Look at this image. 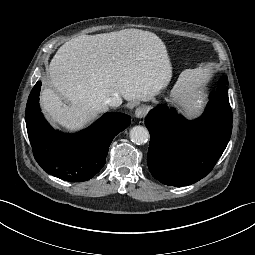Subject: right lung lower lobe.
I'll return each instance as SVG.
<instances>
[{
  "label": "right lung lower lobe",
  "mask_w": 255,
  "mask_h": 255,
  "mask_svg": "<svg viewBox=\"0 0 255 255\" xmlns=\"http://www.w3.org/2000/svg\"><path fill=\"white\" fill-rule=\"evenodd\" d=\"M41 82L32 89L26 105V127L33 154L47 173L70 182L91 179L104 166L110 143L126 129L131 118L106 113L89 128L76 134L55 131L39 107Z\"/></svg>",
  "instance_id": "obj_1"
}]
</instances>
